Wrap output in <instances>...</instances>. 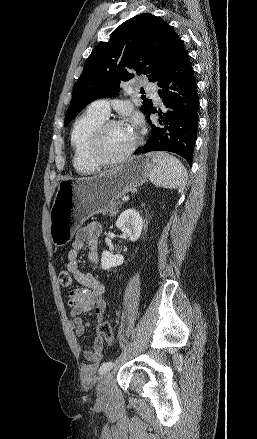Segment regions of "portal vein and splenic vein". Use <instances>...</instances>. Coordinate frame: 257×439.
Segmentation results:
<instances>
[{"label":"portal vein and splenic vein","mask_w":257,"mask_h":439,"mask_svg":"<svg viewBox=\"0 0 257 439\" xmlns=\"http://www.w3.org/2000/svg\"><path fill=\"white\" fill-rule=\"evenodd\" d=\"M129 200V196H124L123 198H122V201H128Z\"/></svg>","instance_id":"portal-vein-and-splenic-vein-1"}]
</instances>
